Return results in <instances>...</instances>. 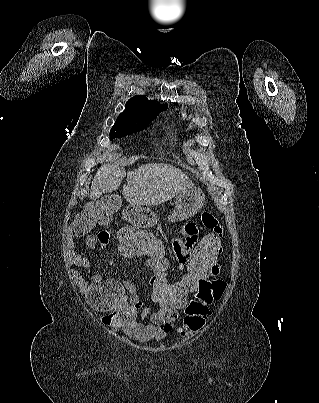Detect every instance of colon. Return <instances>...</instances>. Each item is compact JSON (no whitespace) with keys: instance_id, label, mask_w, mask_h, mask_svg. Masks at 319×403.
I'll list each match as a JSON object with an SVG mask.
<instances>
[{"instance_id":"obj_1","label":"colon","mask_w":319,"mask_h":403,"mask_svg":"<svg viewBox=\"0 0 319 403\" xmlns=\"http://www.w3.org/2000/svg\"><path fill=\"white\" fill-rule=\"evenodd\" d=\"M120 204L119 192H105L104 199L95 197L88 201L87 210L73 223L74 233L83 235L96 224H107L111 217H116ZM201 220L215 231L210 232V238H200L189 250L192 260L183 267L178 282H170L167 277L168 268H174V259L166 252L169 245L166 234L147 233L141 226H117L116 234L108 238L121 260H145V268H155L149 290L150 304H156V313H180L176 326L178 341L203 333L212 315L211 305L222 301L227 292L226 281L215 283L210 276L211 266L220 264L226 251L225 232L221 231L223 221L211 213L202 214ZM200 283L203 285L200 296L191 297Z\"/></svg>"}]
</instances>
